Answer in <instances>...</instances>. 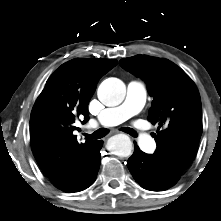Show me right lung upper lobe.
I'll list each match as a JSON object with an SVG mask.
<instances>
[{"label":"right lung upper lobe","mask_w":221,"mask_h":221,"mask_svg":"<svg viewBox=\"0 0 221 221\" xmlns=\"http://www.w3.org/2000/svg\"><path fill=\"white\" fill-rule=\"evenodd\" d=\"M114 59H73L50 76L30 117L31 148L42 171L59 189L81 169L96 141L79 144L77 119L88 120V103L99 79L117 64Z\"/></svg>","instance_id":"cb5924a9"}]
</instances>
